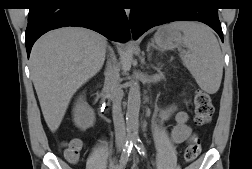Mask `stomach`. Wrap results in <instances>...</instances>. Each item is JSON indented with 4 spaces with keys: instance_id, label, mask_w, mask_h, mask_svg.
<instances>
[{
    "instance_id": "obj_1",
    "label": "stomach",
    "mask_w": 252,
    "mask_h": 169,
    "mask_svg": "<svg viewBox=\"0 0 252 169\" xmlns=\"http://www.w3.org/2000/svg\"><path fill=\"white\" fill-rule=\"evenodd\" d=\"M154 40L159 48L173 50L181 47L184 36L178 28L170 24L160 27L154 35Z\"/></svg>"
}]
</instances>
